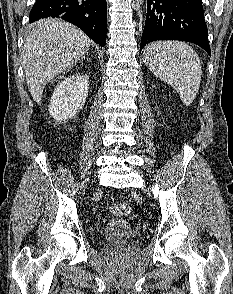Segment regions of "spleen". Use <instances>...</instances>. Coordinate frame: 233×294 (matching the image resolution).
Segmentation results:
<instances>
[{
	"label": "spleen",
	"mask_w": 233,
	"mask_h": 294,
	"mask_svg": "<svg viewBox=\"0 0 233 294\" xmlns=\"http://www.w3.org/2000/svg\"><path fill=\"white\" fill-rule=\"evenodd\" d=\"M143 60L154 75L173 87L186 106L193 103L202 70L191 46L182 41H156L146 46Z\"/></svg>",
	"instance_id": "obj_1"
}]
</instances>
